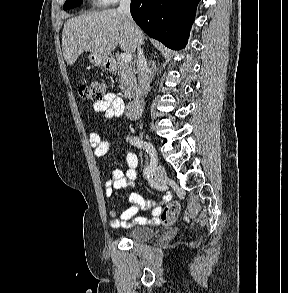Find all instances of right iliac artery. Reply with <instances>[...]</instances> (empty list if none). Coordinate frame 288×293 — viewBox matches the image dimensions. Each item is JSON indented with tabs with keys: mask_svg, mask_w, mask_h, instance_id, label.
Masks as SVG:
<instances>
[{
	"mask_svg": "<svg viewBox=\"0 0 288 293\" xmlns=\"http://www.w3.org/2000/svg\"><path fill=\"white\" fill-rule=\"evenodd\" d=\"M130 143L138 148L145 149L149 154L150 165H148L144 171V176L150 174V170H157L158 164L160 163L159 157L156 156V149L154 147H150V144L142 141L136 136L130 137Z\"/></svg>",
	"mask_w": 288,
	"mask_h": 293,
	"instance_id": "obj_1",
	"label": "right iliac artery"
}]
</instances>
